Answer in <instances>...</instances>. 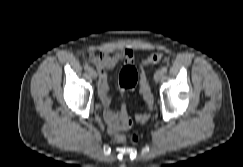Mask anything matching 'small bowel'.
<instances>
[{"label": "small bowel", "instance_id": "c3829d8e", "mask_svg": "<svg viewBox=\"0 0 243 167\" xmlns=\"http://www.w3.org/2000/svg\"><path fill=\"white\" fill-rule=\"evenodd\" d=\"M91 62L98 70V94L104 107V119L108 127L112 123L117 122L121 113L125 112L126 106L123 101L120 102L119 112L110 109L111 96L108 85V77L106 71L114 68L119 63L131 65L134 63L135 56L132 50H118L112 54L106 52L95 53L90 58Z\"/></svg>", "mask_w": 243, "mask_h": 167}]
</instances>
